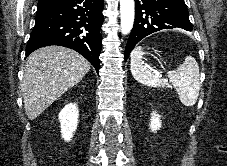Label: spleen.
Wrapping results in <instances>:
<instances>
[{
  "mask_svg": "<svg viewBox=\"0 0 227 166\" xmlns=\"http://www.w3.org/2000/svg\"><path fill=\"white\" fill-rule=\"evenodd\" d=\"M142 49L131 52V73L136 81L149 87H174L181 103L187 107L195 105L200 91V74L197 61L186 56L176 70L168 73V79H160L142 63Z\"/></svg>",
  "mask_w": 227,
  "mask_h": 166,
  "instance_id": "1",
  "label": "spleen"
}]
</instances>
